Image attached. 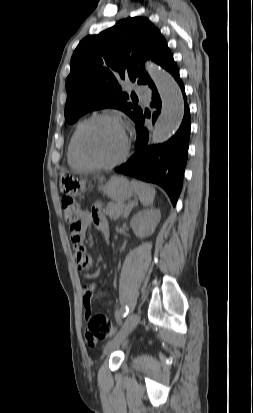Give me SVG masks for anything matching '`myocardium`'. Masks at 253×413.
Masks as SVG:
<instances>
[{
    "label": "myocardium",
    "mask_w": 253,
    "mask_h": 413,
    "mask_svg": "<svg viewBox=\"0 0 253 413\" xmlns=\"http://www.w3.org/2000/svg\"><path fill=\"white\" fill-rule=\"evenodd\" d=\"M98 120H108V121H112V122L117 123L121 127V129L123 131V134H124L125 145H124L123 152L121 153V155L118 158H116L115 160H113L111 162H96V161H93L84 153L83 148H82V134H83V132L85 131V129L91 123H93L95 121H98ZM75 149H76V153H77L78 157L80 158V160L90 168H93V169H110V168H114L117 165L124 162L125 159L127 158L128 154H129L130 139H129V136H128L127 128H126L125 124L123 123V121L116 115L107 114V113H99V114L92 115L91 117L86 119L83 123H81L80 126L78 127V129L76 131V135H75Z\"/></svg>",
    "instance_id": "myocardium-1"
}]
</instances>
